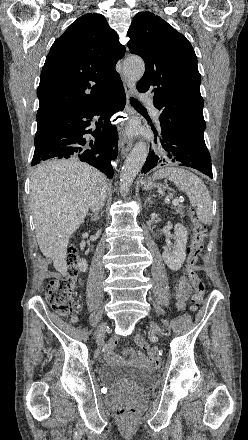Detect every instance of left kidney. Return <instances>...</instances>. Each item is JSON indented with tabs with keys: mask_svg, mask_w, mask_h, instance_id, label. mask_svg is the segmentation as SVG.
<instances>
[{
	"mask_svg": "<svg viewBox=\"0 0 248 440\" xmlns=\"http://www.w3.org/2000/svg\"><path fill=\"white\" fill-rule=\"evenodd\" d=\"M176 241L172 249L164 250L162 257L166 265L173 271H178L186 258V244L188 232L182 224L174 226Z\"/></svg>",
	"mask_w": 248,
	"mask_h": 440,
	"instance_id": "left-kidney-1",
	"label": "left kidney"
}]
</instances>
